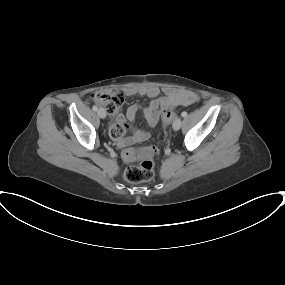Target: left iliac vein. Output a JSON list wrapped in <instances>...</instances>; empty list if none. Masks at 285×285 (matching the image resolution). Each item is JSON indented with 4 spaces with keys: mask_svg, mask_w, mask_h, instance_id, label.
Instances as JSON below:
<instances>
[{
    "mask_svg": "<svg viewBox=\"0 0 285 285\" xmlns=\"http://www.w3.org/2000/svg\"><path fill=\"white\" fill-rule=\"evenodd\" d=\"M181 119L177 118L174 123H173V129L174 130H179L181 127Z\"/></svg>",
    "mask_w": 285,
    "mask_h": 285,
    "instance_id": "obj_1",
    "label": "left iliac vein"
}]
</instances>
